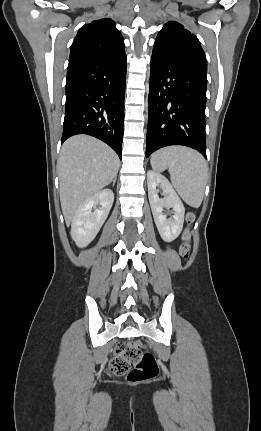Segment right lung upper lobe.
I'll list each match as a JSON object with an SVG mask.
<instances>
[{
  "mask_svg": "<svg viewBox=\"0 0 261 431\" xmlns=\"http://www.w3.org/2000/svg\"><path fill=\"white\" fill-rule=\"evenodd\" d=\"M125 54L123 37L109 18L84 25L71 45L69 61L90 57H118Z\"/></svg>",
  "mask_w": 261,
  "mask_h": 431,
  "instance_id": "cb5924a9",
  "label": "right lung upper lobe"
}]
</instances>
